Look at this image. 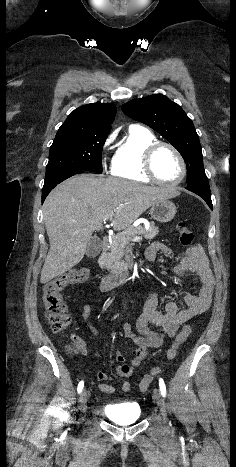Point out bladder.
<instances>
[{"label":"bladder","instance_id":"bladder-1","mask_svg":"<svg viewBox=\"0 0 236 467\" xmlns=\"http://www.w3.org/2000/svg\"><path fill=\"white\" fill-rule=\"evenodd\" d=\"M109 418L120 424H130L140 419L142 411L136 402L110 404L104 412Z\"/></svg>","mask_w":236,"mask_h":467}]
</instances>
